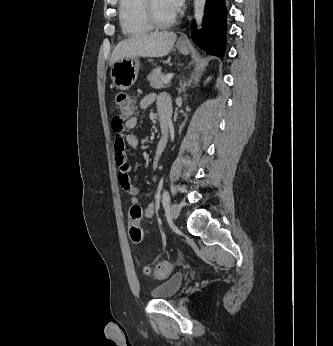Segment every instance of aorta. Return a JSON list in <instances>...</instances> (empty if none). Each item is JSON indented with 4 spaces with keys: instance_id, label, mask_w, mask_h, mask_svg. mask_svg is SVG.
I'll use <instances>...</instances> for the list:
<instances>
[{
    "instance_id": "762f6f07",
    "label": "aorta",
    "mask_w": 333,
    "mask_h": 346,
    "mask_svg": "<svg viewBox=\"0 0 333 346\" xmlns=\"http://www.w3.org/2000/svg\"><path fill=\"white\" fill-rule=\"evenodd\" d=\"M206 0H194V16L198 25V29L201 28V23L204 15Z\"/></svg>"
}]
</instances>
